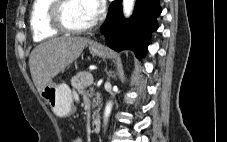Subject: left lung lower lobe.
<instances>
[{
	"mask_svg": "<svg viewBox=\"0 0 227 142\" xmlns=\"http://www.w3.org/2000/svg\"><path fill=\"white\" fill-rule=\"evenodd\" d=\"M161 12L160 0H137L133 15L125 19L122 0H114L101 27L107 45L116 51L130 49L136 56H143L150 34L158 28L157 17Z\"/></svg>",
	"mask_w": 227,
	"mask_h": 142,
	"instance_id": "0a47b994",
	"label": "left lung lower lobe"
}]
</instances>
